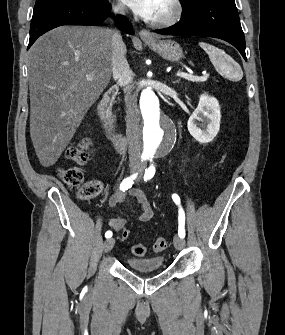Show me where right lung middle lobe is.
Returning <instances> with one entry per match:
<instances>
[{
	"mask_svg": "<svg viewBox=\"0 0 285 335\" xmlns=\"http://www.w3.org/2000/svg\"><path fill=\"white\" fill-rule=\"evenodd\" d=\"M52 0H36V4L35 6H39L41 4L50 2ZM74 1H78V2H85V3H100L103 2V0H74Z\"/></svg>",
	"mask_w": 285,
	"mask_h": 335,
	"instance_id": "obj_1",
	"label": "right lung middle lobe"
}]
</instances>
